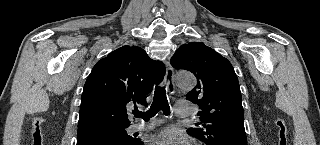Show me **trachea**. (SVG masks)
Here are the masks:
<instances>
[{
  "instance_id": "obj_1",
  "label": "trachea",
  "mask_w": 320,
  "mask_h": 145,
  "mask_svg": "<svg viewBox=\"0 0 320 145\" xmlns=\"http://www.w3.org/2000/svg\"><path fill=\"white\" fill-rule=\"evenodd\" d=\"M160 110L163 111L164 115L170 114V107L166 96V90L164 87L156 86L154 92V99L152 105L150 106V109L146 112L135 111L134 116L148 121L150 118L155 116Z\"/></svg>"
}]
</instances>
